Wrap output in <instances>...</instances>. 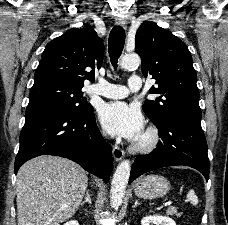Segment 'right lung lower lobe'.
I'll return each instance as SVG.
<instances>
[{
    "instance_id": "1",
    "label": "right lung lower lobe",
    "mask_w": 228,
    "mask_h": 225,
    "mask_svg": "<svg viewBox=\"0 0 228 225\" xmlns=\"http://www.w3.org/2000/svg\"><path fill=\"white\" fill-rule=\"evenodd\" d=\"M111 152L96 125L93 107L76 112L62 106H44L26 111L15 174L29 159L55 155L73 160L107 182L113 167Z\"/></svg>"
}]
</instances>
